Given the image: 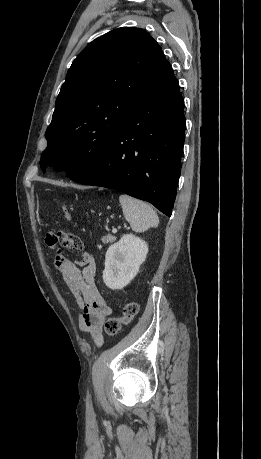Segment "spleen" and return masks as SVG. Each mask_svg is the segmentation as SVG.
Returning a JSON list of instances; mask_svg holds the SVG:
<instances>
[{"label": "spleen", "instance_id": "3e777b00", "mask_svg": "<svg viewBox=\"0 0 261 459\" xmlns=\"http://www.w3.org/2000/svg\"><path fill=\"white\" fill-rule=\"evenodd\" d=\"M119 202L125 219L135 232H144L151 227H158L159 218L153 208L147 203L132 198L126 194L119 197Z\"/></svg>", "mask_w": 261, "mask_h": 459}]
</instances>
